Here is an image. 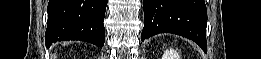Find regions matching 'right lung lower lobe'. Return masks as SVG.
<instances>
[{
  "mask_svg": "<svg viewBox=\"0 0 261 59\" xmlns=\"http://www.w3.org/2000/svg\"><path fill=\"white\" fill-rule=\"evenodd\" d=\"M108 0H50L46 46L56 41L81 40L104 45V17Z\"/></svg>",
  "mask_w": 261,
  "mask_h": 59,
  "instance_id": "obj_1",
  "label": "right lung lower lobe"
}]
</instances>
